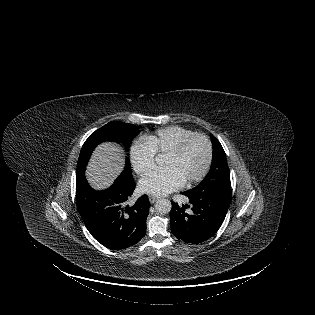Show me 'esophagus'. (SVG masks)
I'll return each instance as SVG.
<instances>
[{"mask_svg": "<svg viewBox=\"0 0 315 315\" xmlns=\"http://www.w3.org/2000/svg\"><path fill=\"white\" fill-rule=\"evenodd\" d=\"M157 197H154V196H149V201L151 204L155 203L157 201Z\"/></svg>", "mask_w": 315, "mask_h": 315, "instance_id": "1", "label": "esophagus"}]
</instances>
